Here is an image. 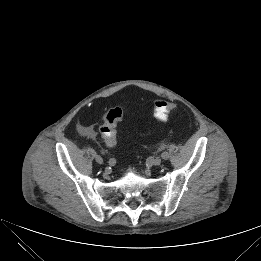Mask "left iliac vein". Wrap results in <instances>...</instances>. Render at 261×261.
Wrapping results in <instances>:
<instances>
[{
    "mask_svg": "<svg viewBox=\"0 0 261 261\" xmlns=\"http://www.w3.org/2000/svg\"><path fill=\"white\" fill-rule=\"evenodd\" d=\"M161 162H162V159H161V157H156L154 160H153V165L154 166H159L160 164H161Z\"/></svg>",
    "mask_w": 261,
    "mask_h": 261,
    "instance_id": "obj_1",
    "label": "left iliac vein"
}]
</instances>
